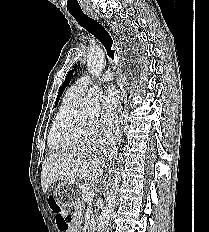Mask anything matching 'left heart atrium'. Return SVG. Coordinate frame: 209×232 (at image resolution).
Instances as JSON below:
<instances>
[{"instance_id":"39dd6f15","label":"left heart atrium","mask_w":209,"mask_h":232,"mask_svg":"<svg viewBox=\"0 0 209 232\" xmlns=\"http://www.w3.org/2000/svg\"><path fill=\"white\" fill-rule=\"evenodd\" d=\"M119 99V93L115 88L110 87L105 90L101 102L106 114H112L116 110Z\"/></svg>"}]
</instances>
